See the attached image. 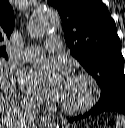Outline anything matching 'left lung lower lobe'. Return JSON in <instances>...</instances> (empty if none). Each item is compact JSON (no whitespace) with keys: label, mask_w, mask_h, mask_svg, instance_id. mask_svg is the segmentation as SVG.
<instances>
[{"label":"left lung lower lobe","mask_w":125,"mask_h":128,"mask_svg":"<svg viewBox=\"0 0 125 128\" xmlns=\"http://www.w3.org/2000/svg\"><path fill=\"white\" fill-rule=\"evenodd\" d=\"M109 111H115L125 114V91L118 93L116 97L106 102L97 103L89 112L85 113L84 115H80L78 117H72L68 119V121L73 122L82 118H86L88 116H93L102 112H109Z\"/></svg>","instance_id":"1"}]
</instances>
